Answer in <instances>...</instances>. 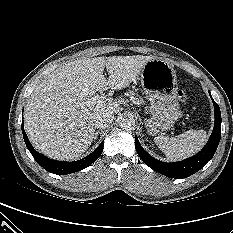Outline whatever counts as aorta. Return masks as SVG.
I'll return each instance as SVG.
<instances>
[{"instance_id":"obj_1","label":"aorta","mask_w":233,"mask_h":233,"mask_svg":"<svg viewBox=\"0 0 233 233\" xmlns=\"http://www.w3.org/2000/svg\"><path fill=\"white\" fill-rule=\"evenodd\" d=\"M120 127L122 129H125V130H128V131H131V130H134L135 127H136V122L133 118L131 117H126V118H123L120 122Z\"/></svg>"}]
</instances>
